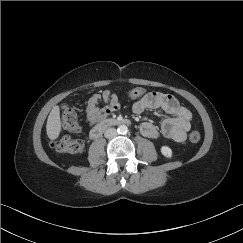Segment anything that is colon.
Listing matches in <instances>:
<instances>
[{
  "instance_id": "obj_1",
  "label": "colon",
  "mask_w": 243,
  "mask_h": 243,
  "mask_svg": "<svg viewBox=\"0 0 243 243\" xmlns=\"http://www.w3.org/2000/svg\"><path fill=\"white\" fill-rule=\"evenodd\" d=\"M143 95V89L141 87H135L128 92L130 99H138ZM61 120L64 127L74 133L80 132V124L76 112L69 106H63L61 110ZM201 135L198 131H192L189 135V139L192 142H198ZM52 147L59 152L79 153L84 148V142L81 139H72L68 135H63L57 138Z\"/></svg>"
}]
</instances>
